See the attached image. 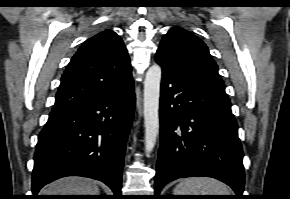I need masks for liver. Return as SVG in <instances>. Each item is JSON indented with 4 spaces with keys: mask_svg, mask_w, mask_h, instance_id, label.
Segmentation results:
<instances>
[{
    "mask_svg": "<svg viewBox=\"0 0 290 199\" xmlns=\"http://www.w3.org/2000/svg\"><path fill=\"white\" fill-rule=\"evenodd\" d=\"M43 195H98L96 182L82 177H66L52 182L42 190Z\"/></svg>",
    "mask_w": 290,
    "mask_h": 199,
    "instance_id": "liver-1",
    "label": "liver"
}]
</instances>
